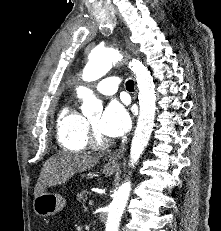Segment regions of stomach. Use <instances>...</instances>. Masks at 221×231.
I'll use <instances>...</instances> for the list:
<instances>
[{
  "mask_svg": "<svg viewBox=\"0 0 221 231\" xmlns=\"http://www.w3.org/2000/svg\"><path fill=\"white\" fill-rule=\"evenodd\" d=\"M114 172L115 169L113 168L104 167L103 169V173L107 176H111ZM65 203V199L60 194L44 191L35 197L33 209L37 215L46 217L60 212Z\"/></svg>",
  "mask_w": 221,
  "mask_h": 231,
  "instance_id": "obj_1",
  "label": "stomach"
}]
</instances>
